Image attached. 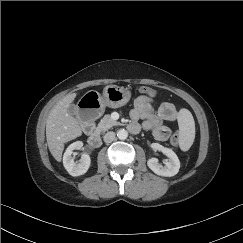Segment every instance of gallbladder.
Wrapping results in <instances>:
<instances>
[{
    "instance_id": "bac80fb5",
    "label": "gallbladder",
    "mask_w": 243,
    "mask_h": 243,
    "mask_svg": "<svg viewBox=\"0 0 243 243\" xmlns=\"http://www.w3.org/2000/svg\"><path fill=\"white\" fill-rule=\"evenodd\" d=\"M77 110H78V108L74 104H70L69 107H68V109H67V112L70 115H76Z\"/></svg>"
}]
</instances>
